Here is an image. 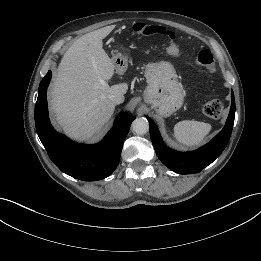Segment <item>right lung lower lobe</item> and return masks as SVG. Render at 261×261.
Segmentation results:
<instances>
[{"instance_id": "obj_1", "label": "right lung lower lobe", "mask_w": 261, "mask_h": 261, "mask_svg": "<svg viewBox=\"0 0 261 261\" xmlns=\"http://www.w3.org/2000/svg\"><path fill=\"white\" fill-rule=\"evenodd\" d=\"M50 78L51 71L39 85L35 107L37 134L50 159L62 172L83 181H96L108 177L119 163L123 142L135 118L127 114L118 115L114 127L98 144L73 143L57 133L49 121L46 90Z\"/></svg>"}]
</instances>
